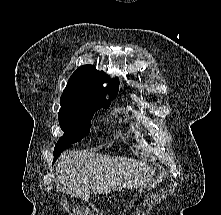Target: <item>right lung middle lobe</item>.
Instances as JSON below:
<instances>
[{
    "label": "right lung middle lobe",
    "instance_id": "obj_1",
    "mask_svg": "<svg viewBox=\"0 0 221 215\" xmlns=\"http://www.w3.org/2000/svg\"><path fill=\"white\" fill-rule=\"evenodd\" d=\"M115 97H111L110 100L80 106L61 107L59 111V124L64 134L59 138L54 148V161L64 150L71 148L74 143L81 141L89 134L94 112L100 108H108L112 98Z\"/></svg>",
    "mask_w": 221,
    "mask_h": 215
}]
</instances>
